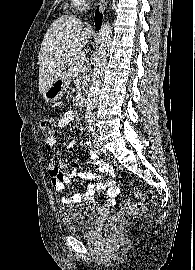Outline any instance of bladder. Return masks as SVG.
I'll use <instances>...</instances> for the list:
<instances>
[{"label":"bladder","mask_w":195,"mask_h":270,"mask_svg":"<svg viewBox=\"0 0 195 270\" xmlns=\"http://www.w3.org/2000/svg\"><path fill=\"white\" fill-rule=\"evenodd\" d=\"M98 210L91 204L61 207L59 217L66 232L74 235L92 233L98 218Z\"/></svg>","instance_id":"obj_1"}]
</instances>
